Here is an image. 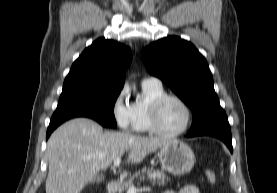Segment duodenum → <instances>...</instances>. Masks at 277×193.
<instances>
[{"mask_svg":"<svg viewBox=\"0 0 277 193\" xmlns=\"http://www.w3.org/2000/svg\"><path fill=\"white\" fill-rule=\"evenodd\" d=\"M119 184L117 181H110L107 185V193H117Z\"/></svg>","mask_w":277,"mask_h":193,"instance_id":"duodenum-1","label":"duodenum"}]
</instances>
